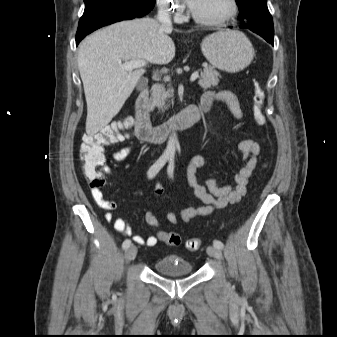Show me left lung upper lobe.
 Masks as SVG:
<instances>
[{"instance_id":"5c2ea615","label":"left lung upper lobe","mask_w":337,"mask_h":337,"mask_svg":"<svg viewBox=\"0 0 337 337\" xmlns=\"http://www.w3.org/2000/svg\"><path fill=\"white\" fill-rule=\"evenodd\" d=\"M240 10V21L273 26L267 0H236Z\"/></svg>"}]
</instances>
